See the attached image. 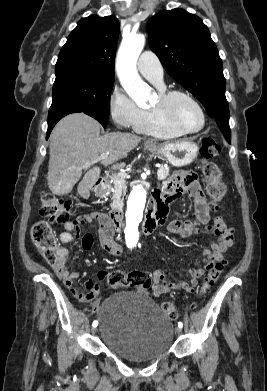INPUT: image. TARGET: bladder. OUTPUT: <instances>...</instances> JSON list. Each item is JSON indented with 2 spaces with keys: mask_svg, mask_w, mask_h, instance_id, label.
Wrapping results in <instances>:
<instances>
[{
  "mask_svg": "<svg viewBox=\"0 0 267 391\" xmlns=\"http://www.w3.org/2000/svg\"><path fill=\"white\" fill-rule=\"evenodd\" d=\"M101 342L133 362L157 359L173 342V324L149 297L139 292L112 294L97 310Z\"/></svg>",
  "mask_w": 267,
  "mask_h": 391,
  "instance_id": "obj_1",
  "label": "bladder"
}]
</instances>
